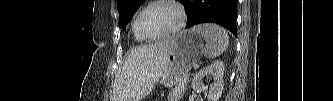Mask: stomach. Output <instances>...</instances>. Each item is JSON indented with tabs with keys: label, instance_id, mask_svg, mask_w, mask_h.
<instances>
[{
	"label": "stomach",
	"instance_id": "stomach-1",
	"mask_svg": "<svg viewBox=\"0 0 333 101\" xmlns=\"http://www.w3.org/2000/svg\"><path fill=\"white\" fill-rule=\"evenodd\" d=\"M169 48L167 68L160 81L165 87L175 86L200 60L204 52L203 37L192 29L185 30L169 40Z\"/></svg>",
	"mask_w": 333,
	"mask_h": 101
}]
</instances>
